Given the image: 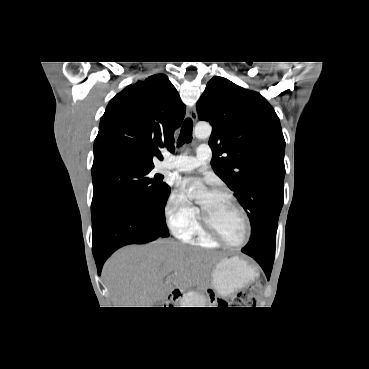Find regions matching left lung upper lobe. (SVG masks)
I'll use <instances>...</instances> for the list:
<instances>
[{
    "instance_id": "obj_1",
    "label": "left lung upper lobe",
    "mask_w": 369,
    "mask_h": 369,
    "mask_svg": "<svg viewBox=\"0 0 369 369\" xmlns=\"http://www.w3.org/2000/svg\"><path fill=\"white\" fill-rule=\"evenodd\" d=\"M197 111L212 125L214 172L250 219L251 237L242 251L274 258L285 176V140L277 114L259 93L220 76L207 83Z\"/></svg>"
}]
</instances>
